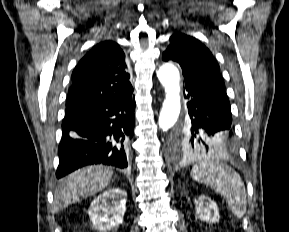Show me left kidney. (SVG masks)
<instances>
[{
    "mask_svg": "<svg viewBox=\"0 0 289 232\" xmlns=\"http://www.w3.org/2000/svg\"><path fill=\"white\" fill-rule=\"evenodd\" d=\"M195 210L201 221L216 223L219 221V209L214 201L204 195L195 200Z\"/></svg>",
    "mask_w": 289,
    "mask_h": 232,
    "instance_id": "obj_1",
    "label": "left kidney"
}]
</instances>
